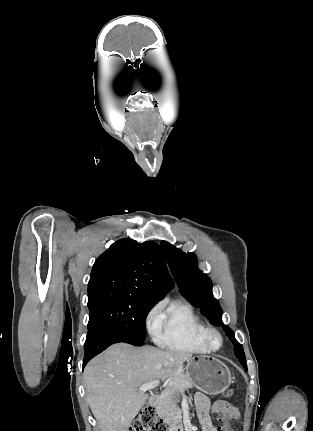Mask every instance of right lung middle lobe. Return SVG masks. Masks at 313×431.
<instances>
[{
    "mask_svg": "<svg viewBox=\"0 0 313 431\" xmlns=\"http://www.w3.org/2000/svg\"><path fill=\"white\" fill-rule=\"evenodd\" d=\"M157 301L126 291H105L88 297V335L112 329L145 341V320Z\"/></svg>",
    "mask_w": 313,
    "mask_h": 431,
    "instance_id": "dd1d6c3e",
    "label": "right lung middle lobe"
}]
</instances>
